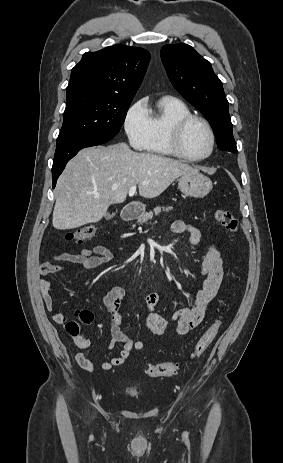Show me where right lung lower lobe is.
Listing matches in <instances>:
<instances>
[{
  "mask_svg": "<svg viewBox=\"0 0 283 463\" xmlns=\"http://www.w3.org/2000/svg\"><path fill=\"white\" fill-rule=\"evenodd\" d=\"M112 138V136L83 137L57 144L52 166L53 188L55 187L57 179L64 170L67 162L73 158L81 149L103 144Z\"/></svg>",
  "mask_w": 283,
  "mask_h": 463,
  "instance_id": "1",
  "label": "right lung lower lobe"
}]
</instances>
